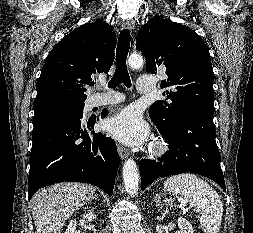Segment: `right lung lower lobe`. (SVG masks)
<instances>
[{
  "instance_id": "98d812e1",
  "label": "right lung lower lobe",
  "mask_w": 253,
  "mask_h": 233,
  "mask_svg": "<svg viewBox=\"0 0 253 233\" xmlns=\"http://www.w3.org/2000/svg\"><path fill=\"white\" fill-rule=\"evenodd\" d=\"M96 120L59 109L34 115L29 200L38 189L62 181L90 183L112 195L119 155L113 139L92 131Z\"/></svg>"
}]
</instances>
